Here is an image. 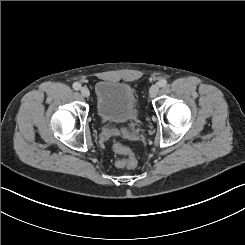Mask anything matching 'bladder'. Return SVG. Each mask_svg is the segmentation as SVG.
<instances>
[{"instance_id": "1", "label": "bladder", "mask_w": 245, "mask_h": 245, "mask_svg": "<svg viewBox=\"0 0 245 245\" xmlns=\"http://www.w3.org/2000/svg\"><path fill=\"white\" fill-rule=\"evenodd\" d=\"M96 97L98 113L104 120L127 121L137 116V96L128 84L101 81Z\"/></svg>"}]
</instances>
